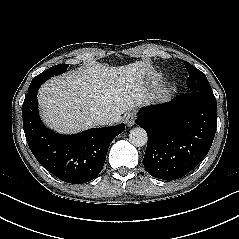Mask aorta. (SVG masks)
<instances>
[{"label":"aorta","mask_w":239,"mask_h":239,"mask_svg":"<svg viewBox=\"0 0 239 239\" xmlns=\"http://www.w3.org/2000/svg\"><path fill=\"white\" fill-rule=\"evenodd\" d=\"M129 140L134 146L142 147L147 143V133L143 128L135 127L130 130Z\"/></svg>","instance_id":"762f6f07"}]
</instances>
